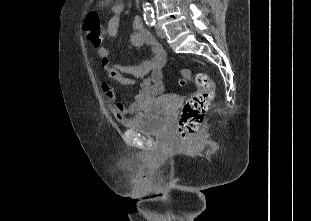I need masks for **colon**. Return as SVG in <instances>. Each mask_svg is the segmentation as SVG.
Masks as SVG:
<instances>
[{"label": "colon", "mask_w": 311, "mask_h": 221, "mask_svg": "<svg viewBox=\"0 0 311 221\" xmlns=\"http://www.w3.org/2000/svg\"><path fill=\"white\" fill-rule=\"evenodd\" d=\"M103 30L104 27L98 22L96 13L88 12L86 14V25L84 26V39H89L91 45L98 49L101 47ZM189 78V70H182L179 84L181 86L186 85ZM195 83L196 92L184 101L177 121L180 141H193V134L202 124L213 99L214 84L208 75L198 74Z\"/></svg>", "instance_id": "5ec220e1"}]
</instances>
